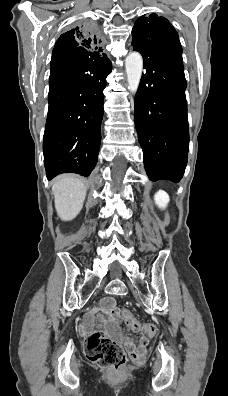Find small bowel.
Here are the masks:
<instances>
[{
  "instance_id": "small-bowel-1",
  "label": "small bowel",
  "mask_w": 228,
  "mask_h": 396,
  "mask_svg": "<svg viewBox=\"0 0 228 396\" xmlns=\"http://www.w3.org/2000/svg\"><path fill=\"white\" fill-rule=\"evenodd\" d=\"M103 308L105 311V318H104V326L105 328L119 341H121L130 357L133 360H139L142 358L145 352V348L147 346V338L145 336H141L139 340V347L136 348L135 344L131 339H129L125 334L121 331L119 327V318L120 313L119 310L115 306V302L113 299H106L103 302ZM90 327V321L88 320L84 326V330L86 331Z\"/></svg>"
}]
</instances>
